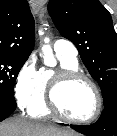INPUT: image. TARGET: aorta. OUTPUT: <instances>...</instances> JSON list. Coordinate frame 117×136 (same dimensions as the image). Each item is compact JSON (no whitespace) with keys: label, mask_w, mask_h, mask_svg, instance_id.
<instances>
[{"label":"aorta","mask_w":117,"mask_h":136,"mask_svg":"<svg viewBox=\"0 0 117 136\" xmlns=\"http://www.w3.org/2000/svg\"><path fill=\"white\" fill-rule=\"evenodd\" d=\"M44 41H45V43H48L49 39L45 38ZM42 51H43V54H44V63L47 66H54L55 65V59L53 57L51 47L48 44H46L42 47Z\"/></svg>","instance_id":"obj_1"}]
</instances>
